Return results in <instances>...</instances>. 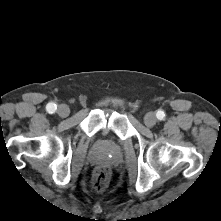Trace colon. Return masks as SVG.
Segmentation results:
<instances>
[{"label": "colon", "instance_id": "1", "mask_svg": "<svg viewBox=\"0 0 221 221\" xmlns=\"http://www.w3.org/2000/svg\"><path fill=\"white\" fill-rule=\"evenodd\" d=\"M109 179V169L105 166L98 167L92 181V190L96 193L102 192L107 187Z\"/></svg>", "mask_w": 221, "mask_h": 221}]
</instances>
